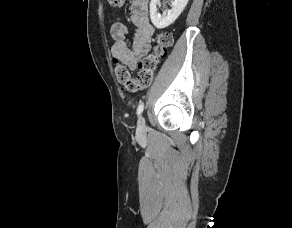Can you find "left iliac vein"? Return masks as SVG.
<instances>
[{"mask_svg": "<svg viewBox=\"0 0 292 228\" xmlns=\"http://www.w3.org/2000/svg\"><path fill=\"white\" fill-rule=\"evenodd\" d=\"M146 132V123L143 116H140L137 123V134L139 136L144 135Z\"/></svg>", "mask_w": 292, "mask_h": 228, "instance_id": "1", "label": "left iliac vein"}]
</instances>
